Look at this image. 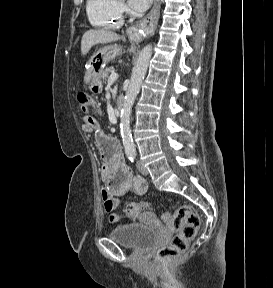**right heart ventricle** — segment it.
Here are the masks:
<instances>
[{"label": "right heart ventricle", "instance_id": "1", "mask_svg": "<svg viewBox=\"0 0 273 288\" xmlns=\"http://www.w3.org/2000/svg\"><path fill=\"white\" fill-rule=\"evenodd\" d=\"M86 11L90 23L103 29H117L123 23L118 0H87Z\"/></svg>", "mask_w": 273, "mask_h": 288}]
</instances>
